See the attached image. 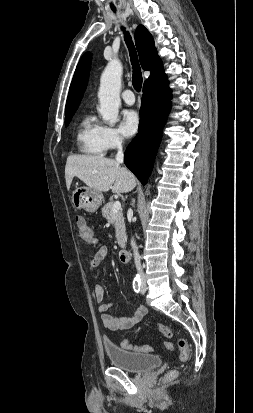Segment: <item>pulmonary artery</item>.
I'll return each instance as SVG.
<instances>
[{
    "label": "pulmonary artery",
    "instance_id": "e3ab8cb5",
    "mask_svg": "<svg viewBox=\"0 0 253 413\" xmlns=\"http://www.w3.org/2000/svg\"><path fill=\"white\" fill-rule=\"evenodd\" d=\"M122 99L123 101L128 104V105H133L135 102V96L131 90H125L122 93Z\"/></svg>",
    "mask_w": 253,
    "mask_h": 413
}]
</instances>
